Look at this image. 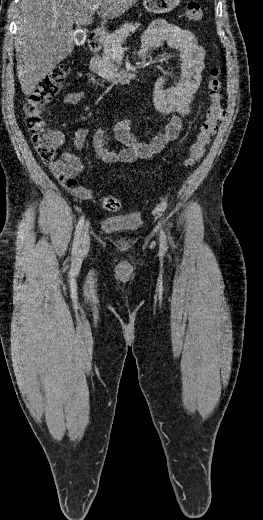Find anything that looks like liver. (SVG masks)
Here are the masks:
<instances>
[{
	"mask_svg": "<svg viewBox=\"0 0 263 520\" xmlns=\"http://www.w3.org/2000/svg\"><path fill=\"white\" fill-rule=\"evenodd\" d=\"M138 0H22L15 41L18 79L23 93L36 86L74 49L73 24L93 22L91 7L102 18L122 16Z\"/></svg>",
	"mask_w": 263,
	"mask_h": 520,
	"instance_id": "1",
	"label": "liver"
}]
</instances>
